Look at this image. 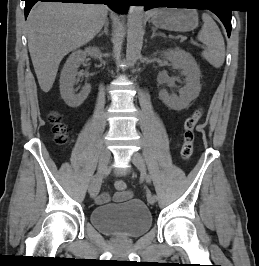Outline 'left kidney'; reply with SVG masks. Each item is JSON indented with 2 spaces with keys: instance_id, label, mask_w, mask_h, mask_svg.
<instances>
[{
  "instance_id": "obj_1",
  "label": "left kidney",
  "mask_w": 259,
  "mask_h": 266,
  "mask_svg": "<svg viewBox=\"0 0 259 266\" xmlns=\"http://www.w3.org/2000/svg\"><path fill=\"white\" fill-rule=\"evenodd\" d=\"M163 55L174 68L182 70L186 80L179 96L169 95L165 89H162L159 92V98L170 109L180 111L187 108L191 101L198 97L201 90V72L193 56L180 48L168 49L163 52Z\"/></svg>"
}]
</instances>
